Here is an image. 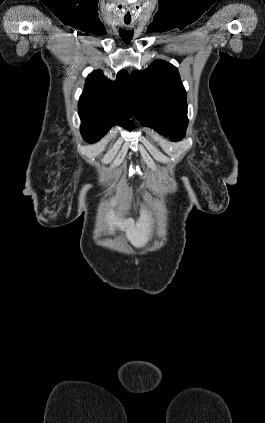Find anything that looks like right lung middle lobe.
Masks as SVG:
<instances>
[{
  "label": "right lung middle lobe",
  "mask_w": 265,
  "mask_h": 423,
  "mask_svg": "<svg viewBox=\"0 0 265 423\" xmlns=\"http://www.w3.org/2000/svg\"><path fill=\"white\" fill-rule=\"evenodd\" d=\"M82 120L81 124V135L89 143H95L99 141L111 128L113 124L103 123L99 120L86 118L80 116ZM122 125L128 129L132 128V122L126 121Z\"/></svg>",
  "instance_id": "right-lung-middle-lobe-1"
}]
</instances>
